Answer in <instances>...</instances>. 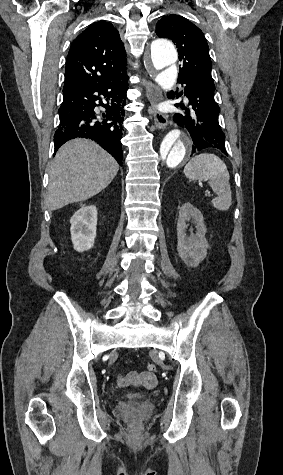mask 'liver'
Returning <instances> with one entry per match:
<instances>
[{
  "label": "liver",
  "instance_id": "1",
  "mask_svg": "<svg viewBox=\"0 0 283 475\" xmlns=\"http://www.w3.org/2000/svg\"><path fill=\"white\" fill-rule=\"evenodd\" d=\"M119 166L92 140H70L59 148L49 174V210L84 202L102 192L115 178Z\"/></svg>",
  "mask_w": 283,
  "mask_h": 475
}]
</instances>
